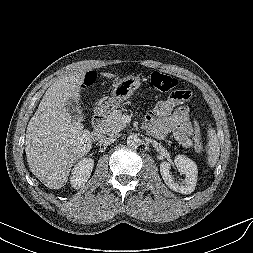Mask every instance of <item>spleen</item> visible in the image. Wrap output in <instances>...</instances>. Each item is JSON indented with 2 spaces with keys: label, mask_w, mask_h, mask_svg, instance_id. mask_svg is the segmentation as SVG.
Instances as JSON below:
<instances>
[{
  "label": "spleen",
  "mask_w": 253,
  "mask_h": 253,
  "mask_svg": "<svg viewBox=\"0 0 253 253\" xmlns=\"http://www.w3.org/2000/svg\"><path fill=\"white\" fill-rule=\"evenodd\" d=\"M208 142L206 145L207 163L210 167H214L219 159L220 147L219 141L214 129L208 125Z\"/></svg>",
  "instance_id": "obj_1"
}]
</instances>
